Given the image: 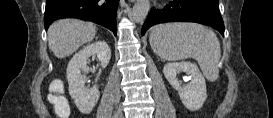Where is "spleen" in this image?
Here are the masks:
<instances>
[{
  "instance_id": "obj_1",
  "label": "spleen",
  "mask_w": 273,
  "mask_h": 118,
  "mask_svg": "<svg viewBox=\"0 0 273 118\" xmlns=\"http://www.w3.org/2000/svg\"><path fill=\"white\" fill-rule=\"evenodd\" d=\"M149 42L161 59L193 58L209 81L217 80L221 49L213 31L193 23L160 24L151 29Z\"/></svg>"
}]
</instances>
